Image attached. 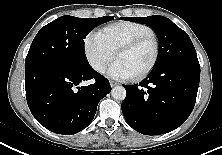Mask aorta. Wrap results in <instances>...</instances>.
Returning a JSON list of instances; mask_svg holds the SVG:
<instances>
[{
  "label": "aorta",
  "instance_id": "aorta-1",
  "mask_svg": "<svg viewBox=\"0 0 222 155\" xmlns=\"http://www.w3.org/2000/svg\"><path fill=\"white\" fill-rule=\"evenodd\" d=\"M111 95L115 100H124L126 97V90L122 86H116L111 90Z\"/></svg>",
  "mask_w": 222,
  "mask_h": 155
}]
</instances>
